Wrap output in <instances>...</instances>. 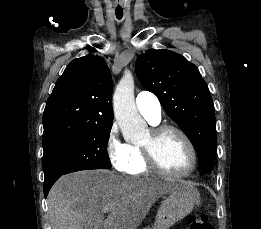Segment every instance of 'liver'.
I'll return each mask as SVG.
<instances>
[{
    "label": "liver",
    "instance_id": "liver-1",
    "mask_svg": "<svg viewBox=\"0 0 261 229\" xmlns=\"http://www.w3.org/2000/svg\"><path fill=\"white\" fill-rule=\"evenodd\" d=\"M173 189L170 181L118 177L106 169L79 171L52 187L48 217L52 229H137L153 203Z\"/></svg>",
    "mask_w": 261,
    "mask_h": 229
}]
</instances>
